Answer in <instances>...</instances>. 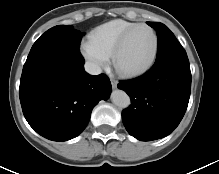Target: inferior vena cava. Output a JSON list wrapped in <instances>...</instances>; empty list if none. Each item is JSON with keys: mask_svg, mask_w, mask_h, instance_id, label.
I'll use <instances>...</instances> for the list:
<instances>
[{"mask_svg": "<svg viewBox=\"0 0 219 174\" xmlns=\"http://www.w3.org/2000/svg\"><path fill=\"white\" fill-rule=\"evenodd\" d=\"M85 71L91 75H98L102 72V69L99 65L94 62H86L85 63Z\"/></svg>", "mask_w": 219, "mask_h": 174, "instance_id": "obj_1", "label": "inferior vena cava"}]
</instances>
